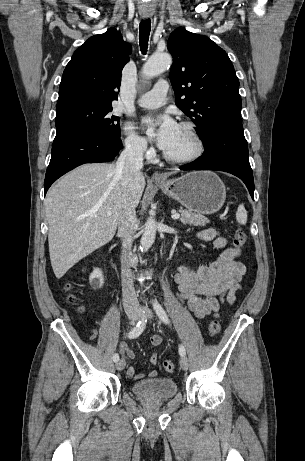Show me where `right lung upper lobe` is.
Masks as SVG:
<instances>
[{
	"label": "right lung upper lobe",
	"mask_w": 305,
	"mask_h": 461,
	"mask_svg": "<svg viewBox=\"0 0 305 461\" xmlns=\"http://www.w3.org/2000/svg\"><path fill=\"white\" fill-rule=\"evenodd\" d=\"M130 44L116 29L90 37L73 54L59 87L56 107L79 102L111 104L117 100L121 72L129 61Z\"/></svg>",
	"instance_id": "obj_1"
}]
</instances>
